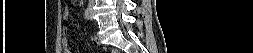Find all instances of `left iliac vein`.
Instances as JSON below:
<instances>
[{"instance_id": "left-iliac-vein-1", "label": "left iliac vein", "mask_w": 253, "mask_h": 53, "mask_svg": "<svg viewBox=\"0 0 253 53\" xmlns=\"http://www.w3.org/2000/svg\"><path fill=\"white\" fill-rule=\"evenodd\" d=\"M90 18L92 19V13L90 12Z\"/></svg>"}]
</instances>
